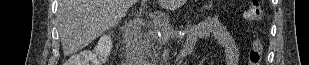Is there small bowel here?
Segmentation results:
<instances>
[{
    "instance_id": "c3829d8e",
    "label": "small bowel",
    "mask_w": 309,
    "mask_h": 65,
    "mask_svg": "<svg viewBox=\"0 0 309 65\" xmlns=\"http://www.w3.org/2000/svg\"><path fill=\"white\" fill-rule=\"evenodd\" d=\"M213 37L225 50V65H237L238 49L233 36L216 18L192 27L187 35L184 48L194 49L198 39Z\"/></svg>"
}]
</instances>
